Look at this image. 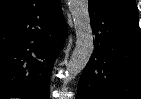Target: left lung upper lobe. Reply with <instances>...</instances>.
I'll return each instance as SVG.
<instances>
[{
	"instance_id": "left-lung-upper-lobe-1",
	"label": "left lung upper lobe",
	"mask_w": 141,
	"mask_h": 99,
	"mask_svg": "<svg viewBox=\"0 0 141 99\" xmlns=\"http://www.w3.org/2000/svg\"><path fill=\"white\" fill-rule=\"evenodd\" d=\"M91 2L107 5L114 9H135V0H89Z\"/></svg>"
}]
</instances>
